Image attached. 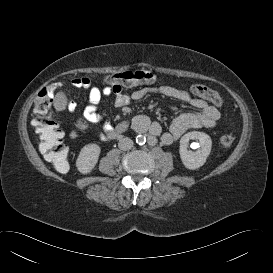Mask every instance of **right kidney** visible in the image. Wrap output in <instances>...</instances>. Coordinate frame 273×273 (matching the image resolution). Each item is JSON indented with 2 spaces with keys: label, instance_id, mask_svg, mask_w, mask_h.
Segmentation results:
<instances>
[{
  "label": "right kidney",
  "instance_id": "obj_1",
  "mask_svg": "<svg viewBox=\"0 0 273 273\" xmlns=\"http://www.w3.org/2000/svg\"><path fill=\"white\" fill-rule=\"evenodd\" d=\"M101 149L97 144H87L85 145L78 156L76 165L78 170L87 174L95 167L98 162Z\"/></svg>",
  "mask_w": 273,
  "mask_h": 273
}]
</instances>
